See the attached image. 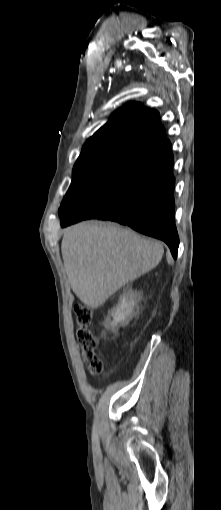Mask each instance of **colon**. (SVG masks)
Instances as JSON below:
<instances>
[{
    "mask_svg": "<svg viewBox=\"0 0 221 510\" xmlns=\"http://www.w3.org/2000/svg\"><path fill=\"white\" fill-rule=\"evenodd\" d=\"M76 321L79 326L77 338L82 347V358L90 375L102 372L103 362L96 354L97 340L90 329L93 320L91 307L79 305L75 308Z\"/></svg>",
    "mask_w": 221,
    "mask_h": 510,
    "instance_id": "5ec220e1",
    "label": "colon"
}]
</instances>
